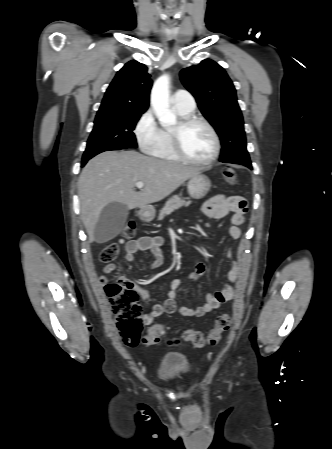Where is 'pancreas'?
Returning <instances> with one entry per match:
<instances>
[{
  "label": "pancreas",
  "mask_w": 332,
  "mask_h": 449,
  "mask_svg": "<svg viewBox=\"0 0 332 449\" xmlns=\"http://www.w3.org/2000/svg\"><path fill=\"white\" fill-rule=\"evenodd\" d=\"M190 204L191 201H186L180 197L170 198L165 203L164 207L160 210L158 220H162L165 216L171 214L173 211L181 207H188Z\"/></svg>",
  "instance_id": "obj_1"
}]
</instances>
